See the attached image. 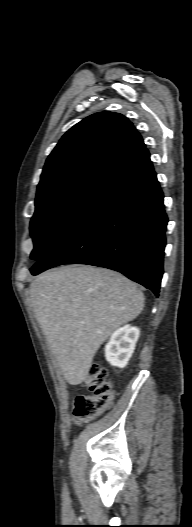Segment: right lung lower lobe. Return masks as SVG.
Instances as JSON below:
<instances>
[{"label": "right lung lower lobe", "instance_id": "obj_1", "mask_svg": "<svg viewBox=\"0 0 192 527\" xmlns=\"http://www.w3.org/2000/svg\"><path fill=\"white\" fill-rule=\"evenodd\" d=\"M167 222L163 193L145 149L107 181L30 271L37 275L74 263L105 267L158 296Z\"/></svg>", "mask_w": 192, "mask_h": 527}]
</instances>
